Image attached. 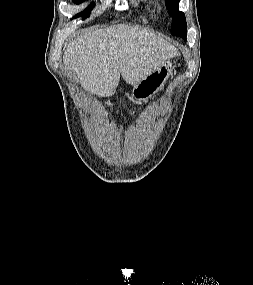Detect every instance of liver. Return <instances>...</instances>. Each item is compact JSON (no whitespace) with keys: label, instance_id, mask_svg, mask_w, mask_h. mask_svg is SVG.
Masks as SVG:
<instances>
[{"label":"liver","instance_id":"6515ba94","mask_svg":"<svg viewBox=\"0 0 253 285\" xmlns=\"http://www.w3.org/2000/svg\"><path fill=\"white\" fill-rule=\"evenodd\" d=\"M178 54L163 37L119 24L81 33L67 45L63 61L85 90L110 96L116 91L120 74L126 83L135 86Z\"/></svg>","mask_w":253,"mask_h":285}]
</instances>
